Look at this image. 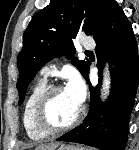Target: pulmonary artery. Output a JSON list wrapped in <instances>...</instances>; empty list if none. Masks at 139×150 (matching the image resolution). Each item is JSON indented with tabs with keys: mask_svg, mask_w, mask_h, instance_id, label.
I'll return each mask as SVG.
<instances>
[{
	"mask_svg": "<svg viewBox=\"0 0 139 150\" xmlns=\"http://www.w3.org/2000/svg\"><path fill=\"white\" fill-rule=\"evenodd\" d=\"M82 47L86 50L94 49L95 42L91 38H88V37L84 38L83 41H82ZM49 73H50V68L49 67H44L41 70V74H42L44 79H46L48 77Z\"/></svg>",
	"mask_w": 139,
	"mask_h": 150,
	"instance_id": "pulmonary-artery-1",
	"label": "pulmonary artery"
}]
</instances>
